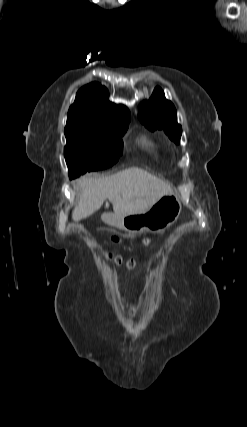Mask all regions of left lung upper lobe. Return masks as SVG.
<instances>
[{
    "mask_svg": "<svg viewBox=\"0 0 247 427\" xmlns=\"http://www.w3.org/2000/svg\"><path fill=\"white\" fill-rule=\"evenodd\" d=\"M139 119L148 129H164L172 141L180 142L182 128L177 123L176 109L172 102L165 98L161 88H155L150 99L143 102Z\"/></svg>",
    "mask_w": 247,
    "mask_h": 427,
    "instance_id": "obj_1",
    "label": "left lung upper lobe"
}]
</instances>
